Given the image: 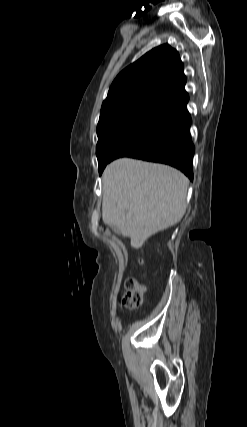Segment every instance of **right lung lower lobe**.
Returning a JSON list of instances; mask_svg holds the SVG:
<instances>
[{"instance_id":"right-lung-lower-lobe-1","label":"right lung lower lobe","mask_w":247,"mask_h":427,"mask_svg":"<svg viewBox=\"0 0 247 427\" xmlns=\"http://www.w3.org/2000/svg\"><path fill=\"white\" fill-rule=\"evenodd\" d=\"M186 92L154 109L119 144L109 162L119 157H133L169 164L193 180L195 147L189 127L191 117Z\"/></svg>"}]
</instances>
